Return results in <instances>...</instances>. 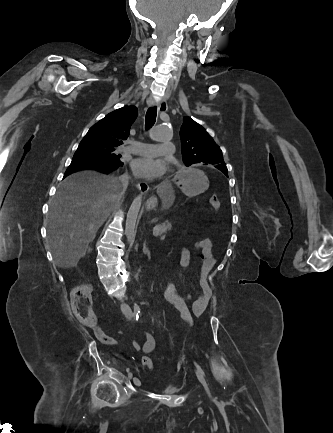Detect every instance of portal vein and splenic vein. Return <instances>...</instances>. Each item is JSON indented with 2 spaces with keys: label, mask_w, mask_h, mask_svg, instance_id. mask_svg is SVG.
I'll list each match as a JSON object with an SVG mask.
<instances>
[{
  "label": "portal vein and splenic vein",
  "mask_w": 333,
  "mask_h": 433,
  "mask_svg": "<svg viewBox=\"0 0 333 433\" xmlns=\"http://www.w3.org/2000/svg\"><path fill=\"white\" fill-rule=\"evenodd\" d=\"M153 235H155V236H157L158 235V233L156 232V230L155 229H153ZM165 239V237H161L160 238V240H164Z\"/></svg>",
  "instance_id": "portal-vein-and-splenic-vein-1"
}]
</instances>
